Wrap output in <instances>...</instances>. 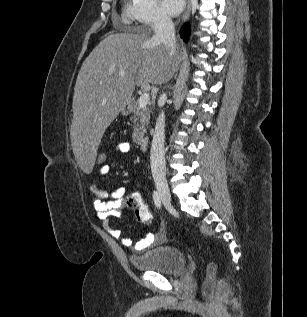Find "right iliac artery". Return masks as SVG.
<instances>
[{
  "mask_svg": "<svg viewBox=\"0 0 307 317\" xmlns=\"http://www.w3.org/2000/svg\"><path fill=\"white\" fill-rule=\"evenodd\" d=\"M153 200H154V204L156 205V207L160 208L161 207V198H160L159 192L157 190H154V192H153Z\"/></svg>",
  "mask_w": 307,
  "mask_h": 317,
  "instance_id": "obj_1",
  "label": "right iliac artery"
}]
</instances>
